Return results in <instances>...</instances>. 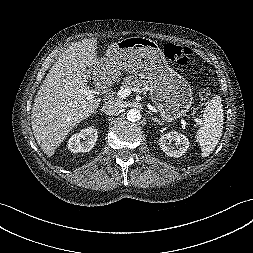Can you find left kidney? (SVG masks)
Listing matches in <instances>:
<instances>
[{"label": "left kidney", "mask_w": 253, "mask_h": 253, "mask_svg": "<svg viewBox=\"0 0 253 253\" xmlns=\"http://www.w3.org/2000/svg\"><path fill=\"white\" fill-rule=\"evenodd\" d=\"M172 142H175L177 149H175ZM159 144L166 155L170 157H180L187 151L189 140L184 134L172 131L163 134L159 139Z\"/></svg>", "instance_id": "obj_1"}]
</instances>
